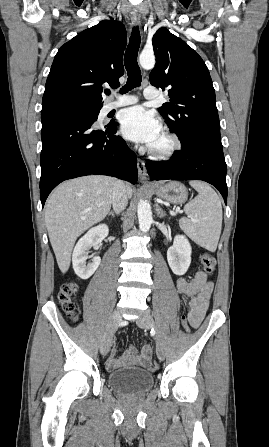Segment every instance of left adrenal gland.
Segmentation results:
<instances>
[{
	"mask_svg": "<svg viewBox=\"0 0 269 447\" xmlns=\"http://www.w3.org/2000/svg\"><path fill=\"white\" fill-rule=\"evenodd\" d=\"M155 210L158 218H164V216H166V214H163V212H161V208H159L158 204H155Z\"/></svg>",
	"mask_w": 269,
	"mask_h": 447,
	"instance_id": "1",
	"label": "left adrenal gland"
}]
</instances>
